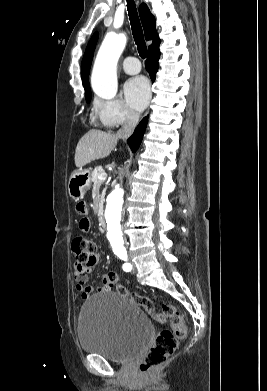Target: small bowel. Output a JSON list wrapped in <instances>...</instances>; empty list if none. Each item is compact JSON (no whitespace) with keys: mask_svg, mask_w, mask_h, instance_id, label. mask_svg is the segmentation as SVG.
I'll list each match as a JSON object with an SVG mask.
<instances>
[{"mask_svg":"<svg viewBox=\"0 0 267 391\" xmlns=\"http://www.w3.org/2000/svg\"><path fill=\"white\" fill-rule=\"evenodd\" d=\"M76 212L81 216L79 222L80 230L83 232H88L91 224L87 216L88 209L86 203L78 202L76 205ZM97 261L98 259L96 260V263L94 265H90V266H80L77 264L75 265L74 277L76 280V289L81 294V297L83 299L89 298L91 294L94 292V288L88 286L86 282H87L88 275L94 271ZM108 288L109 285L106 282V276H105L103 280V284L97 287V291L103 292L106 291Z\"/></svg>","mask_w":267,"mask_h":391,"instance_id":"obj_1","label":"small bowel"}]
</instances>
